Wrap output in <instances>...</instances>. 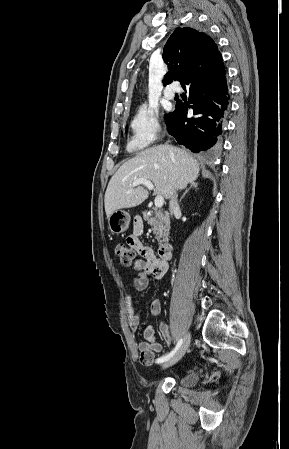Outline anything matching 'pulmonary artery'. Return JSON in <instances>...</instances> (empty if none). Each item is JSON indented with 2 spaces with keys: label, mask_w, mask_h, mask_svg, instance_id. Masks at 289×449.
I'll list each match as a JSON object with an SVG mask.
<instances>
[{
  "label": "pulmonary artery",
  "mask_w": 289,
  "mask_h": 449,
  "mask_svg": "<svg viewBox=\"0 0 289 449\" xmlns=\"http://www.w3.org/2000/svg\"><path fill=\"white\" fill-rule=\"evenodd\" d=\"M176 94V89L174 87H169L165 91V97L168 99H173Z\"/></svg>",
  "instance_id": "pulmonary-artery-1"
}]
</instances>
